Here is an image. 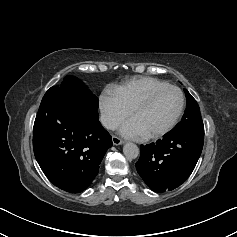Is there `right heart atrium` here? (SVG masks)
<instances>
[{
    "mask_svg": "<svg viewBox=\"0 0 237 237\" xmlns=\"http://www.w3.org/2000/svg\"><path fill=\"white\" fill-rule=\"evenodd\" d=\"M99 106L102 124L110 130L116 129L129 115V110L110 89L101 94Z\"/></svg>",
    "mask_w": 237,
    "mask_h": 237,
    "instance_id": "right-heart-atrium-1",
    "label": "right heart atrium"
}]
</instances>
